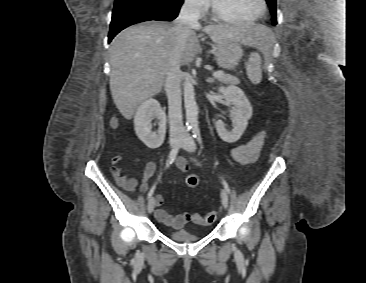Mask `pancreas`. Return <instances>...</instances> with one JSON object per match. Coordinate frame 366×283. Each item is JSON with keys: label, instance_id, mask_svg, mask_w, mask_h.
<instances>
[{"label": "pancreas", "instance_id": "1", "mask_svg": "<svg viewBox=\"0 0 366 283\" xmlns=\"http://www.w3.org/2000/svg\"><path fill=\"white\" fill-rule=\"evenodd\" d=\"M219 81L224 84H233V85L240 84L239 79L232 75H223L222 77L219 78Z\"/></svg>", "mask_w": 366, "mask_h": 283}]
</instances>
